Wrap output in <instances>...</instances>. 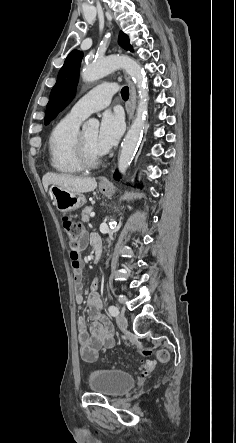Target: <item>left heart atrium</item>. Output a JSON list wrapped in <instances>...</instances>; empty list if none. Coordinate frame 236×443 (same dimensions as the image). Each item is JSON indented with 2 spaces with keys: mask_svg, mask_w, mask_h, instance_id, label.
I'll return each instance as SVG.
<instances>
[{
  "mask_svg": "<svg viewBox=\"0 0 236 443\" xmlns=\"http://www.w3.org/2000/svg\"><path fill=\"white\" fill-rule=\"evenodd\" d=\"M124 130V121L120 114L105 112L97 130L95 146L99 154L108 152L119 140Z\"/></svg>",
  "mask_w": 236,
  "mask_h": 443,
  "instance_id": "1",
  "label": "left heart atrium"
}]
</instances>
